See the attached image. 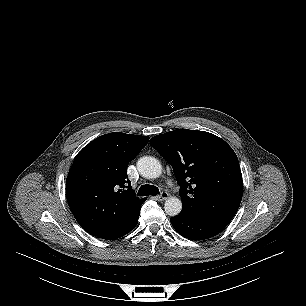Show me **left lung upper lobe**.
Wrapping results in <instances>:
<instances>
[{
	"instance_id": "obj_1",
	"label": "left lung upper lobe",
	"mask_w": 306,
	"mask_h": 306,
	"mask_svg": "<svg viewBox=\"0 0 306 306\" xmlns=\"http://www.w3.org/2000/svg\"><path fill=\"white\" fill-rule=\"evenodd\" d=\"M173 167L182 211L231 221L243 194L238 158L221 138L204 131L178 129L150 139Z\"/></svg>"
}]
</instances>
